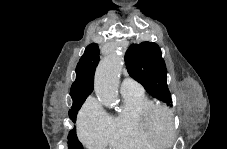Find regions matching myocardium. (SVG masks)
Here are the masks:
<instances>
[{
    "instance_id": "f54148a6",
    "label": "myocardium",
    "mask_w": 227,
    "mask_h": 149,
    "mask_svg": "<svg viewBox=\"0 0 227 149\" xmlns=\"http://www.w3.org/2000/svg\"><path fill=\"white\" fill-rule=\"evenodd\" d=\"M157 113H163L168 122L169 135L166 141H160L153 132L152 121ZM141 130L144 136L154 146H171L176 138V130L174 125V118L171 110L160 104H151L144 108L139 116Z\"/></svg>"
}]
</instances>
